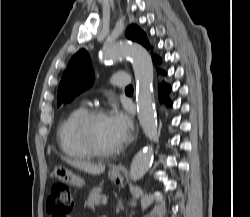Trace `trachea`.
I'll list each match as a JSON object with an SVG mask.
<instances>
[{"mask_svg": "<svg viewBox=\"0 0 250 217\" xmlns=\"http://www.w3.org/2000/svg\"><path fill=\"white\" fill-rule=\"evenodd\" d=\"M125 90L126 91L133 90V87L132 86H128Z\"/></svg>", "mask_w": 250, "mask_h": 217, "instance_id": "3493384b", "label": "trachea"}]
</instances>
